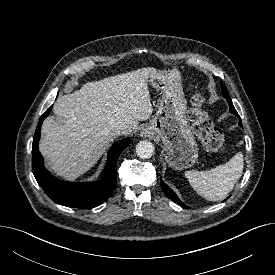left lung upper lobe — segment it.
Segmentation results:
<instances>
[{
	"instance_id": "left-lung-upper-lobe-1",
	"label": "left lung upper lobe",
	"mask_w": 275,
	"mask_h": 275,
	"mask_svg": "<svg viewBox=\"0 0 275 275\" xmlns=\"http://www.w3.org/2000/svg\"><path fill=\"white\" fill-rule=\"evenodd\" d=\"M222 92H223V96H229L227 88L225 87V85L222 84Z\"/></svg>"
}]
</instances>
